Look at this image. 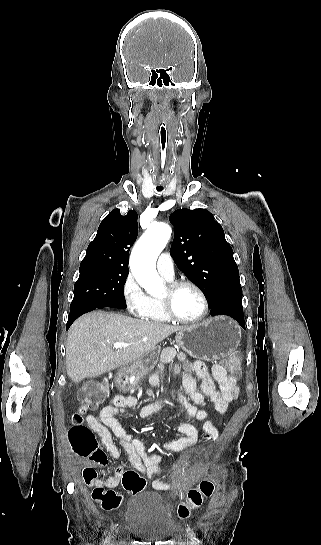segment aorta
<instances>
[{
  "label": "aorta",
  "instance_id": "obj_1",
  "mask_svg": "<svg viewBox=\"0 0 321 545\" xmlns=\"http://www.w3.org/2000/svg\"><path fill=\"white\" fill-rule=\"evenodd\" d=\"M165 223L150 225L135 244L130 256V269L137 282L149 294L160 293L164 286L156 271V261L171 237Z\"/></svg>",
  "mask_w": 321,
  "mask_h": 545
}]
</instances>
